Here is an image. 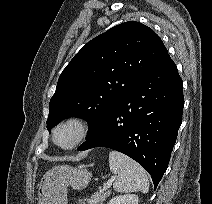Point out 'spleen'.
<instances>
[{"label": "spleen", "instance_id": "obj_1", "mask_svg": "<svg viewBox=\"0 0 212 204\" xmlns=\"http://www.w3.org/2000/svg\"><path fill=\"white\" fill-rule=\"evenodd\" d=\"M110 170L118 178L113 184L117 192H142L149 191V181L146 171L133 159L118 152L109 153Z\"/></svg>", "mask_w": 212, "mask_h": 204}]
</instances>
